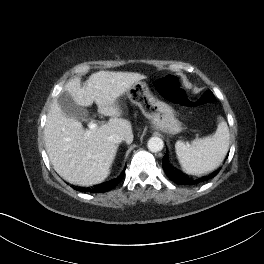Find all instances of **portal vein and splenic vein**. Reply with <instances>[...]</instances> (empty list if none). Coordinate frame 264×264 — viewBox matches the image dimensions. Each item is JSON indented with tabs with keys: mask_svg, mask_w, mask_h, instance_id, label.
I'll return each mask as SVG.
<instances>
[{
	"mask_svg": "<svg viewBox=\"0 0 264 264\" xmlns=\"http://www.w3.org/2000/svg\"><path fill=\"white\" fill-rule=\"evenodd\" d=\"M88 127L90 130H96L97 124L93 121L89 122Z\"/></svg>",
	"mask_w": 264,
	"mask_h": 264,
	"instance_id": "portal-vein-and-splenic-vein-1",
	"label": "portal vein and splenic vein"
}]
</instances>
